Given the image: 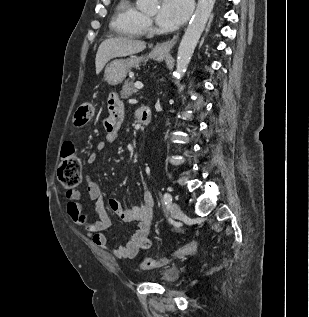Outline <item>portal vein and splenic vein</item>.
<instances>
[{
  "label": "portal vein and splenic vein",
  "mask_w": 309,
  "mask_h": 317,
  "mask_svg": "<svg viewBox=\"0 0 309 317\" xmlns=\"http://www.w3.org/2000/svg\"><path fill=\"white\" fill-rule=\"evenodd\" d=\"M136 89H143L144 85L141 82H136L135 84Z\"/></svg>",
  "instance_id": "1"
}]
</instances>
